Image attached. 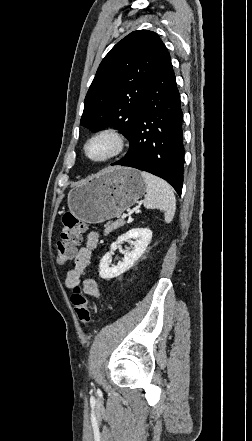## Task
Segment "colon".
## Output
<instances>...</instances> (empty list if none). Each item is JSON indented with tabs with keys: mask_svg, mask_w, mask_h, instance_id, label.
Returning <instances> with one entry per match:
<instances>
[{
	"mask_svg": "<svg viewBox=\"0 0 252 441\" xmlns=\"http://www.w3.org/2000/svg\"><path fill=\"white\" fill-rule=\"evenodd\" d=\"M62 223L61 238L57 242V262L59 264H66L73 259L77 245L81 241L82 234L87 227L85 223L71 213L63 215ZM71 302L79 320L84 324L89 323L91 316L88 299L84 295L80 285L74 287Z\"/></svg>",
	"mask_w": 252,
	"mask_h": 441,
	"instance_id": "5ec220e1",
	"label": "colon"
}]
</instances>
